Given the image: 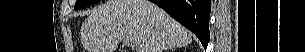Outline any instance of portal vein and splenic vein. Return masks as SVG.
Masks as SVG:
<instances>
[{
	"label": "portal vein and splenic vein",
	"instance_id": "18ae733b",
	"mask_svg": "<svg viewBox=\"0 0 305 52\" xmlns=\"http://www.w3.org/2000/svg\"><path fill=\"white\" fill-rule=\"evenodd\" d=\"M128 43H131V44H133V41L132 40H126Z\"/></svg>",
	"mask_w": 305,
	"mask_h": 52
}]
</instances>
